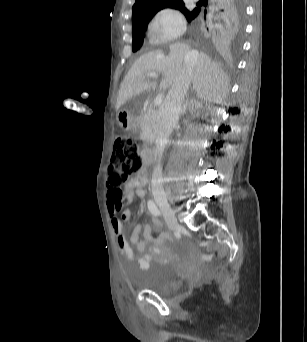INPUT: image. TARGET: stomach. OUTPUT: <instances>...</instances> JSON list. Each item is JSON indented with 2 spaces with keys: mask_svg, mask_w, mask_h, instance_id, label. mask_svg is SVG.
Listing matches in <instances>:
<instances>
[{
  "mask_svg": "<svg viewBox=\"0 0 307 342\" xmlns=\"http://www.w3.org/2000/svg\"><path fill=\"white\" fill-rule=\"evenodd\" d=\"M119 125L124 129H130L133 124L132 117L125 111H119L117 115Z\"/></svg>",
  "mask_w": 307,
  "mask_h": 342,
  "instance_id": "0dacf381",
  "label": "stomach"
}]
</instances>
